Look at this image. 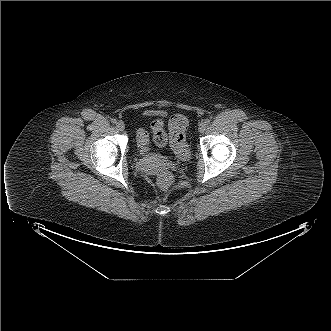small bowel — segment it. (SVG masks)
I'll return each instance as SVG.
<instances>
[{
  "instance_id": "small-bowel-1",
  "label": "small bowel",
  "mask_w": 331,
  "mask_h": 331,
  "mask_svg": "<svg viewBox=\"0 0 331 331\" xmlns=\"http://www.w3.org/2000/svg\"><path fill=\"white\" fill-rule=\"evenodd\" d=\"M153 130H156L157 128H161V123L160 122H155L153 124ZM138 142L139 144L142 146L143 143L146 145L147 143V136L144 132H140L139 135H138Z\"/></svg>"
}]
</instances>
